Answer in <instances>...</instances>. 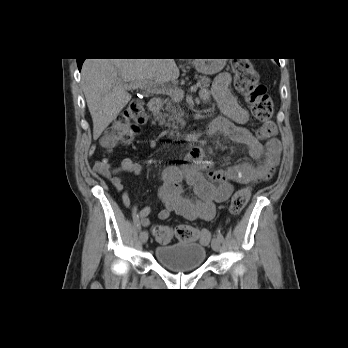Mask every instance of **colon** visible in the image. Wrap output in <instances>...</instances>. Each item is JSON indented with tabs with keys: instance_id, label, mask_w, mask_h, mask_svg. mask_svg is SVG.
Masks as SVG:
<instances>
[{
	"instance_id": "colon-1",
	"label": "colon",
	"mask_w": 348,
	"mask_h": 348,
	"mask_svg": "<svg viewBox=\"0 0 348 348\" xmlns=\"http://www.w3.org/2000/svg\"><path fill=\"white\" fill-rule=\"evenodd\" d=\"M234 85L244 96L252 115L260 122L257 129L259 139H270L275 133L272 122L274 105L265 85L259 82L257 73L249 59L238 58L232 62ZM147 120L142 102L134 101L125 112L118 116L105 130L101 137L104 148H113L119 144L129 143L138 132L140 125ZM250 198V190L246 187L238 189L231 198L229 211L236 216L246 206ZM154 239L160 243H168L173 236L179 241H200L208 244L211 234L207 230H200L191 225H178L174 230L165 225L152 227Z\"/></svg>"
}]
</instances>
